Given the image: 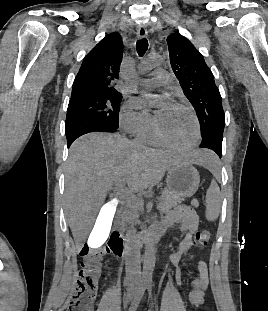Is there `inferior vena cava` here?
<instances>
[{
    "instance_id": "obj_1",
    "label": "inferior vena cava",
    "mask_w": 268,
    "mask_h": 311,
    "mask_svg": "<svg viewBox=\"0 0 268 311\" xmlns=\"http://www.w3.org/2000/svg\"><path fill=\"white\" fill-rule=\"evenodd\" d=\"M135 229L132 228L128 231V251L125 255V264L126 267L130 269H135L133 276L131 277L130 274L127 276V284L137 286L139 283V279L141 276L140 271V252L134 247L135 245Z\"/></svg>"
}]
</instances>
